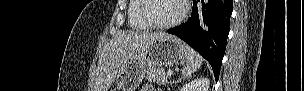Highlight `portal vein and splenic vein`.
<instances>
[{"label":"portal vein and splenic vein","instance_id":"obj_1","mask_svg":"<svg viewBox=\"0 0 304 91\" xmlns=\"http://www.w3.org/2000/svg\"><path fill=\"white\" fill-rule=\"evenodd\" d=\"M167 74L170 77L173 74V71L172 70H168Z\"/></svg>","mask_w":304,"mask_h":91}]
</instances>
